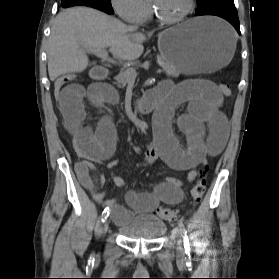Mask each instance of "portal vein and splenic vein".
Masks as SVG:
<instances>
[{
    "mask_svg": "<svg viewBox=\"0 0 279 279\" xmlns=\"http://www.w3.org/2000/svg\"><path fill=\"white\" fill-rule=\"evenodd\" d=\"M87 51L94 53L96 56L101 58L103 61H107L112 64H118L116 60L109 57L108 51L104 48H97V49L96 48H87ZM158 63H160V62H158ZM160 71L161 70H158V72H160ZM131 73H132V77H136L137 73L135 70H133Z\"/></svg>",
    "mask_w": 279,
    "mask_h": 279,
    "instance_id": "18ae733b",
    "label": "portal vein and splenic vein"
}]
</instances>
